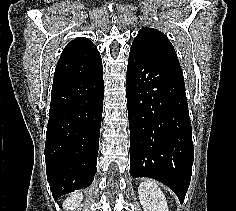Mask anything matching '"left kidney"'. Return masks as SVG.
<instances>
[{"label": "left kidney", "instance_id": "1", "mask_svg": "<svg viewBox=\"0 0 236 211\" xmlns=\"http://www.w3.org/2000/svg\"><path fill=\"white\" fill-rule=\"evenodd\" d=\"M138 194L144 211H168L166 198L155 182L151 180L141 182Z\"/></svg>", "mask_w": 236, "mask_h": 211}]
</instances>
